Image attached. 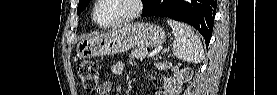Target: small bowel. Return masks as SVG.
Instances as JSON below:
<instances>
[{
  "mask_svg": "<svg viewBox=\"0 0 277 95\" xmlns=\"http://www.w3.org/2000/svg\"><path fill=\"white\" fill-rule=\"evenodd\" d=\"M126 64L123 61H117L112 65L111 71L114 75L122 76L126 73ZM112 86L109 82H104L98 87V94L108 95L110 94ZM168 90H162L156 94L168 95Z\"/></svg>",
  "mask_w": 277,
  "mask_h": 95,
  "instance_id": "c3829d8e",
  "label": "small bowel"
}]
</instances>
